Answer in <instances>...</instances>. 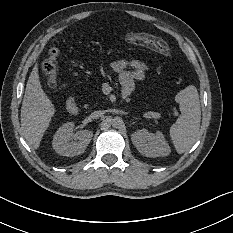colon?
<instances>
[{"mask_svg":"<svg viewBox=\"0 0 233 233\" xmlns=\"http://www.w3.org/2000/svg\"><path fill=\"white\" fill-rule=\"evenodd\" d=\"M130 39L135 43L147 44L163 54L166 58H171L169 46L158 38H151L142 34H134ZM49 56L50 58L42 64V70L48 77V84L50 86H55L57 83V58L59 56V50L57 48H52Z\"/></svg>","mask_w":233,"mask_h":233,"instance_id":"1","label":"colon"}]
</instances>
